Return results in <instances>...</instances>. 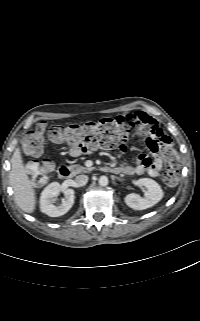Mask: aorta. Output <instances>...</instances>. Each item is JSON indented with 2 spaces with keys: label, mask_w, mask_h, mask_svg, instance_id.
Returning a JSON list of instances; mask_svg holds the SVG:
<instances>
[{
  "label": "aorta",
  "mask_w": 200,
  "mask_h": 321,
  "mask_svg": "<svg viewBox=\"0 0 200 321\" xmlns=\"http://www.w3.org/2000/svg\"><path fill=\"white\" fill-rule=\"evenodd\" d=\"M100 186L108 185V178L106 176H101L98 180Z\"/></svg>",
  "instance_id": "aorta-1"
}]
</instances>
